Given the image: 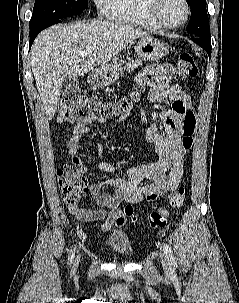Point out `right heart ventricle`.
Returning <instances> with one entry per match:
<instances>
[{
	"instance_id": "e07e8e85",
	"label": "right heart ventricle",
	"mask_w": 239,
	"mask_h": 303,
	"mask_svg": "<svg viewBox=\"0 0 239 303\" xmlns=\"http://www.w3.org/2000/svg\"><path fill=\"white\" fill-rule=\"evenodd\" d=\"M147 0H114L111 9V18L150 30H157L158 27L152 22L146 11Z\"/></svg>"
}]
</instances>
